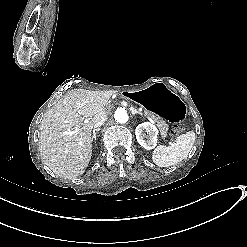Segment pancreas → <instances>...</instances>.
Here are the masks:
<instances>
[{
    "instance_id": "1",
    "label": "pancreas",
    "mask_w": 247,
    "mask_h": 247,
    "mask_svg": "<svg viewBox=\"0 0 247 247\" xmlns=\"http://www.w3.org/2000/svg\"><path fill=\"white\" fill-rule=\"evenodd\" d=\"M159 126H160V131H161L162 136H166L167 131H168V124H166L165 121H161Z\"/></svg>"
}]
</instances>
